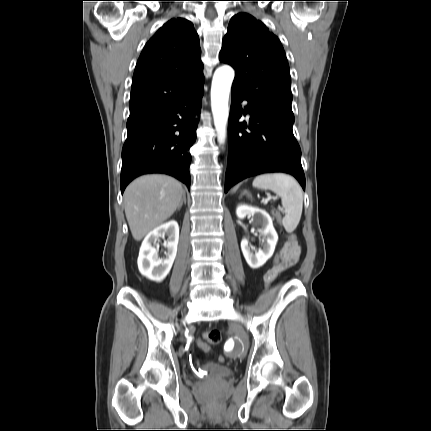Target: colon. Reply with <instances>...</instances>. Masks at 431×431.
Listing matches in <instances>:
<instances>
[{
	"label": "colon",
	"instance_id": "obj_1",
	"mask_svg": "<svg viewBox=\"0 0 431 431\" xmlns=\"http://www.w3.org/2000/svg\"><path fill=\"white\" fill-rule=\"evenodd\" d=\"M283 230L284 229L281 227L280 231L282 232ZM286 235L287 234L285 232L282 233L283 237H285ZM295 236L296 235H294V234L289 235L288 240H293V238ZM287 243H288V241H287ZM280 256H283L282 250L279 252V254L275 253L273 255L274 261H271V263H277V259H280ZM203 339L204 340L197 343V348L204 350V353L206 355H209L212 352V349L209 347V344L216 345V344H219L221 342V340H222L221 331L218 329H210L203 334ZM224 359H225V354H220V363H223Z\"/></svg>",
	"mask_w": 431,
	"mask_h": 431
}]
</instances>
